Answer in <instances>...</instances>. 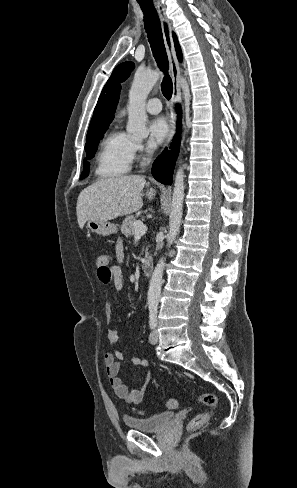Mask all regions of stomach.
Instances as JSON below:
<instances>
[{
  "label": "stomach",
  "instance_id": "stomach-1",
  "mask_svg": "<svg viewBox=\"0 0 297 488\" xmlns=\"http://www.w3.org/2000/svg\"><path fill=\"white\" fill-rule=\"evenodd\" d=\"M87 228L91 232L102 235V236H108L110 234H115L118 231L117 226L113 223L108 222V221L88 220L87 221Z\"/></svg>",
  "mask_w": 297,
  "mask_h": 488
}]
</instances>
